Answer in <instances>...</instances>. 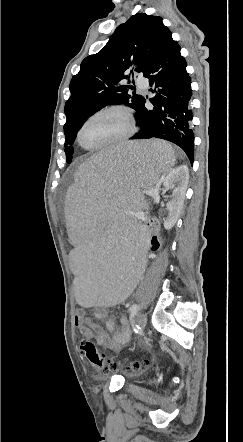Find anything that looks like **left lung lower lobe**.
I'll use <instances>...</instances> for the list:
<instances>
[{"mask_svg":"<svg viewBox=\"0 0 243 442\" xmlns=\"http://www.w3.org/2000/svg\"><path fill=\"white\" fill-rule=\"evenodd\" d=\"M186 66L180 54V46L170 33L144 74L154 88L151 91L156 94L149 100L154 107L147 109L144 99L136 115L140 130L130 139L160 138L173 142L185 151L193 164L192 89Z\"/></svg>","mask_w":243,"mask_h":442,"instance_id":"left-lung-lower-lobe-1","label":"left lung lower lobe"}]
</instances>
